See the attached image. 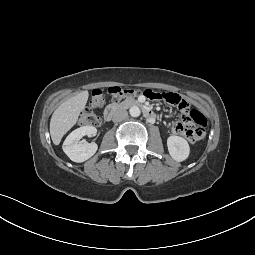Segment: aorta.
<instances>
[{
	"instance_id": "aorta-1",
	"label": "aorta",
	"mask_w": 255,
	"mask_h": 255,
	"mask_svg": "<svg viewBox=\"0 0 255 255\" xmlns=\"http://www.w3.org/2000/svg\"><path fill=\"white\" fill-rule=\"evenodd\" d=\"M129 113L132 117H138L140 116L141 111L138 106H132L129 110Z\"/></svg>"
}]
</instances>
